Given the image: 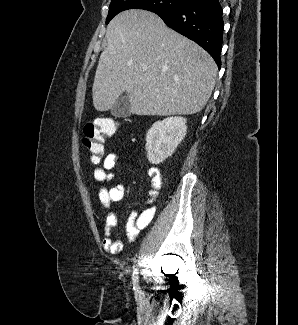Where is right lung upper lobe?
<instances>
[{
	"instance_id": "1",
	"label": "right lung upper lobe",
	"mask_w": 298,
	"mask_h": 325,
	"mask_svg": "<svg viewBox=\"0 0 298 325\" xmlns=\"http://www.w3.org/2000/svg\"><path fill=\"white\" fill-rule=\"evenodd\" d=\"M156 12L160 13V12H163V10H158V11H156Z\"/></svg>"
}]
</instances>
